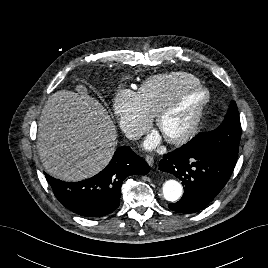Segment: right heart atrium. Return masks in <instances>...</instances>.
Wrapping results in <instances>:
<instances>
[{
	"instance_id": "obj_1",
	"label": "right heart atrium",
	"mask_w": 268,
	"mask_h": 268,
	"mask_svg": "<svg viewBox=\"0 0 268 268\" xmlns=\"http://www.w3.org/2000/svg\"><path fill=\"white\" fill-rule=\"evenodd\" d=\"M112 109L120 127L131 137L145 131L153 121L139 92L121 90L113 100Z\"/></svg>"
}]
</instances>
